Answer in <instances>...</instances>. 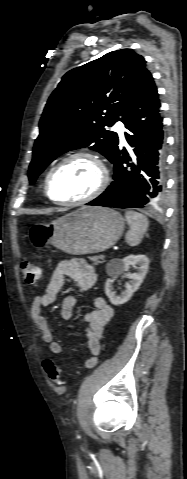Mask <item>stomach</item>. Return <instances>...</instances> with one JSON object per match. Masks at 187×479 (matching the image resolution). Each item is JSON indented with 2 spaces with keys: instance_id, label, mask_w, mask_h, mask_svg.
I'll return each instance as SVG.
<instances>
[{
  "instance_id": "1",
  "label": "stomach",
  "mask_w": 187,
  "mask_h": 479,
  "mask_svg": "<svg viewBox=\"0 0 187 479\" xmlns=\"http://www.w3.org/2000/svg\"><path fill=\"white\" fill-rule=\"evenodd\" d=\"M125 220L104 207L84 206L51 223H35L29 236L36 248L52 244L74 255L102 252L120 239Z\"/></svg>"
}]
</instances>
